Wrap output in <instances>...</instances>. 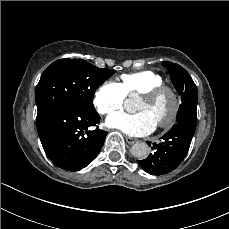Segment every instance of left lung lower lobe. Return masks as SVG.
Returning <instances> with one entry per match:
<instances>
[{
    "mask_svg": "<svg viewBox=\"0 0 229 229\" xmlns=\"http://www.w3.org/2000/svg\"><path fill=\"white\" fill-rule=\"evenodd\" d=\"M196 109L191 108L184 124H175L162 137L159 144L153 143V154L139 161L141 168L152 175H160L173 171L186 156L195 129L192 128L195 120ZM191 120V121H190ZM196 128V127H195ZM149 145L151 142H147Z\"/></svg>",
    "mask_w": 229,
    "mask_h": 229,
    "instance_id": "0a47b994",
    "label": "left lung lower lobe"
}]
</instances>
